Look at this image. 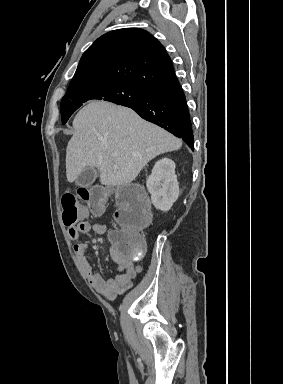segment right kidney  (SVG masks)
<instances>
[{
	"mask_svg": "<svg viewBox=\"0 0 283 384\" xmlns=\"http://www.w3.org/2000/svg\"><path fill=\"white\" fill-rule=\"evenodd\" d=\"M146 186L151 194L153 206L157 210L168 212L179 196V186L173 160L163 158V160L156 162Z\"/></svg>",
	"mask_w": 283,
	"mask_h": 384,
	"instance_id": "ca27d5eb",
	"label": "right kidney"
}]
</instances>
